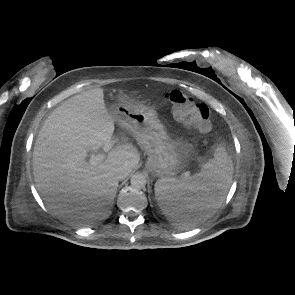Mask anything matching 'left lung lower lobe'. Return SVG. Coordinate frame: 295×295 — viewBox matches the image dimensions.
Instances as JSON below:
<instances>
[{
	"label": "left lung lower lobe",
	"instance_id": "0a47b994",
	"mask_svg": "<svg viewBox=\"0 0 295 295\" xmlns=\"http://www.w3.org/2000/svg\"><path fill=\"white\" fill-rule=\"evenodd\" d=\"M202 212H204L203 209H198V210L195 211L196 214H200V213H202Z\"/></svg>",
	"mask_w": 295,
	"mask_h": 295
}]
</instances>
